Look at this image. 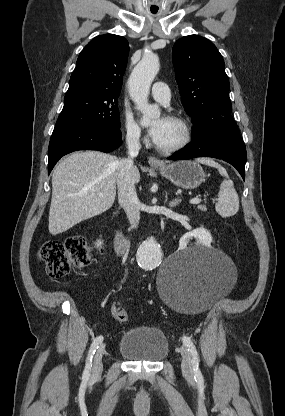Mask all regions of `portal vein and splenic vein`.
<instances>
[{
	"label": "portal vein and splenic vein",
	"mask_w": 285,
	"mask_h": 416,
	"mask_svg": "<svg viewBox=\"0 0 285 416\" xmlns=\"http://www.w3.org/2000/svg\"><path fill=\"white\" fill-rule=\"evenodd\" d=\"M100 196H103V194H100ZM201 200H199V198H192V200H190V204H200Z\"/></svg>",
	"instance_id": "obj_1"
}]
</instances>
